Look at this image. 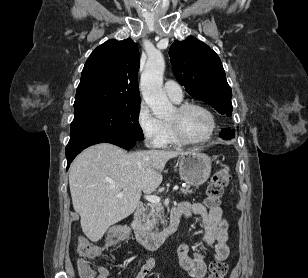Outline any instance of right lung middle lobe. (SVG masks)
<instances>
[{
	"label": "right lung middle lobe",
	"mask_w": 308,
	"mask_h": 278,
	"mask_svg": "<svg viewBox=\"0 0 308 278\" xmlns=\"http://www.w3.org/2000/svg\"><path fill=\"white\" fill-rule=\"evenodd\" d=\"M140 104L99 109L74 115L70 139L86 136H117L143 140L138 123Z\"/></svg>",
	"instance_id": "right-lung-middle-lobe-1"
}]
</instances>
